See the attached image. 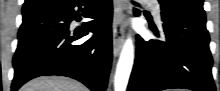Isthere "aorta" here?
<instances>
[{"label": "aorta", "mask_w": 220, "mask_h": 91, "mask_svg": "<svg viewBox=\"0 0 220 91\" xmlns=\"http://www.w3.org/2000/svg\"><path fill=\"white\" fill-rule=\"evenodd\" d=\"M134 60V46L131 38H128L123 46L115 74V91H125Z\"/></svg>", "instance_id": "1"}]
</instances>
